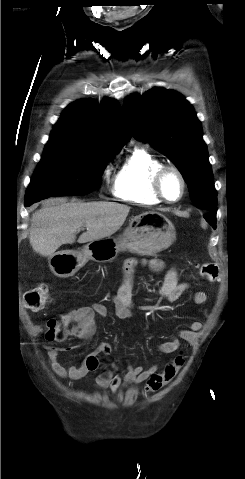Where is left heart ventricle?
<instances>
[{
    "instance_id": "1",
    "label": "left heart ventricle",
    "mask_w": 245,
    "mask_h": 479,
    "mask_svg": "<svg viewBox=\"0 0 245 479\" xmlns=\"http://www.w3.org/2000/svg\"><path fill=\"white\" fill-rule=\"evenodd\" d=\"M164 192L167 198L175 200L181 192L179 179L174 174H168L164 180Z\"/></svg>"
}]
</instances>
